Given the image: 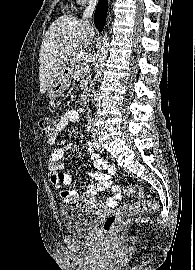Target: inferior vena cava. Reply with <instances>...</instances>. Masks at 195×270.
Wrapping results in <instances>:
<instances>
[{
	"mask_svg": "<svg viewBox=\"0 0 195 270\" xmlns=\"http://www.w3.org/2000/svg\"><path fill=\"white\" fill-rule=\"evenodd\" d=\"M97 0H89V5L83 12V21L85 24L90 25L89 19L92 17Z\"/></svg>",
	"mask_w": 195,
	"mask_h": 270,
	"instance_id": "obj_1",
	"label": "inferior vena cava"
}]
</instances>
